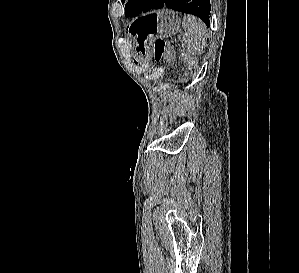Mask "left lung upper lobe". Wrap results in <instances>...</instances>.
I'll list each match as a JSON object with an SVG mask.
<instances>
[{
  "mask_svg": "<svg viewBox=\"0 0 299 273\" xmlns=\"http://www.w3.org/2000/svg\"><path fill=\"white\" fill-rule=\"evenodd\" d=\"M147 0H129L125 6V16L132 17L139 15ZM124 3L125 0H122Z\"/></svg>",
  "mask_w": 299,
  "mask_h": 273,
  "instance_id": "left-lung-upper-lobe-1",
  "label": "left lung upper lobe"
}]
</instances>
